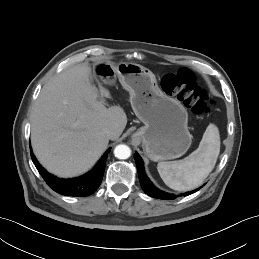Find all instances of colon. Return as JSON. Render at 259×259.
Wrapping results in <instances>:
<instances>
[{
    "label": "colon",
    "mask_w": 259,
    "mask_h": 259,
    "mask_svg": "<svg viewBox=\"0 0 259 259\" xmlns=\"http://www.w3.org/2000/svg\"><path fill=\"white\" fill-rule=\"evenodd\" d=\"M162 89L169 95L176 96L195 115L208 116L213 102L201 88L195 75L188 69L168 72L162 77Z\"/></svg>",
    "instance_id": "1"
}]
</instances>
